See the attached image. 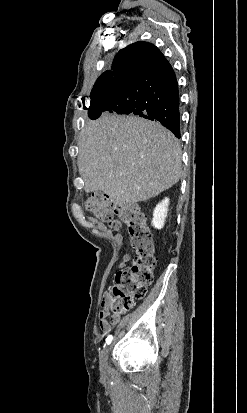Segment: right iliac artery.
<instances>
[{"mask_svg":"<svg viewBox=\"0 0 247 413\" xmlns=\"http://www.w3.org/2000/svg\"><path fill=\"white\" fill-rule=\"evenodd\" d=\"M112 340H113V336L112 335H109L107 338H106V344H110L111 342H112Z\"/></svg>","mask_w":247,"mask_h":413,"instance_id":"obj_1","label":"right iliac artery"}]
</instances>
